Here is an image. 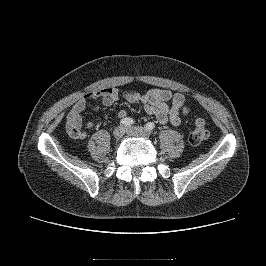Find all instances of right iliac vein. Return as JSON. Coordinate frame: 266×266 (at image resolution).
<instances>
[{
	"mask_svg": "<svg viewBox=\"0 0 266 266\" xmlns=\"http://www.w3.org/2000/svg\"><path fill=\"white\" fill-rule=\"evenodd\" d=\"M125 131H124V128L121 127V126H118L114 129L113 131V136L116 138V139H120L123 135H124Z\"/></svg>",
	"mask_w": 266,
	"mask_h": 266,
	"instance_id": "63e3f726",
	"label": "right iliac vein"
}]
</instances>
